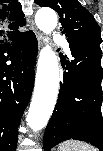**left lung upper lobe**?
<instances>
[{
  "mask_svg": "<svg viewBox=\"0 0 103 151\" xmlns=\"http://www.w3.org/2000/svg\"><path fill=\"white\" fill-rule=\"evenodd\" d=\"M42 7H51L60 17L61 30L69 44H98L101 30L93 15L78 0H34Z\"/></svg>",
  "mask_w": 103,
  "mask_h": 151,
  "instance_id": "1",
  "label": "left lung upper lobe"
}]
</instances>
